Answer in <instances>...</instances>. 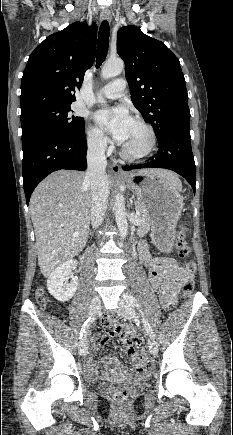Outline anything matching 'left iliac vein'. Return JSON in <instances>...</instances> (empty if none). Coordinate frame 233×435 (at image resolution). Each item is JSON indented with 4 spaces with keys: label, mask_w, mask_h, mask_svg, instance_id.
<instances>
[{
    "label": "left iliac vein",
    "mask_w": 233,
    "mask_h": 435,
    "mask_svg": "<svg viewBox=\"0 0 233 435\" xmlns=\"http://www.w3.org/2000/svg\"><path fill=\"white\" fill-rule=\"evenodd\" d=\"M120 304L121 306L118 309V313L121 317L127 320H134L137 317V313L135 309L128 302L121 300ZM148 348L150 353L153 355H155L158 352L157 343L153 338H149Z\"/></svg>",
    "instance_id": "4c4485c4"
}]
</instances>
